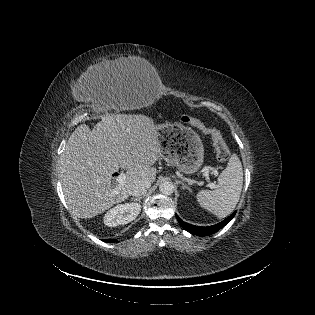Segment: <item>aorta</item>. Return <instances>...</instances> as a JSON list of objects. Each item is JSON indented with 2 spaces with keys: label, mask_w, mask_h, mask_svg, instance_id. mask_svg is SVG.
I'll return each instance as SVG.
<instances>
[{
  "label": "aorta",
  "mask_w": 315,
  "mask_h": 315,
  "mask_svg": "<svg viewBox=\"0 0 315 315\" xmlns=\"http://www.w3.org/2000/svg\"><path fill=\"white\" fill-rule=\"evenodd\" d=\"M159 191L163 195H171L174 192V185L171 182H163L159 186Z\"/></svg>",
  "instance_id": "762f6f07"
}]
</instances>
